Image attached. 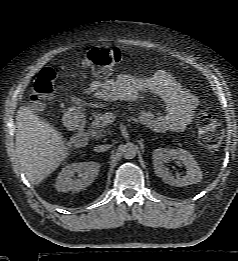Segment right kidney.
Segmentation results:
<instances>
[{
    "label": "right kidney",
    "mask_w": 238,
    "mask_h": 261,
    "mask_svg": "<svg viewBox=\"0 0 238 261\" xmlns=\"http://www.w3.org/2000/svg\"><path fill=\"white\" fill-rule=\"evenodd\" d=\"M100 164L94 161L65 166L58 175L56 189L60 192H78L89 186L98 175ZM77 173L78 178H74Z\"/></svg>",
    "instance_id": "1"
}]
</instances>
